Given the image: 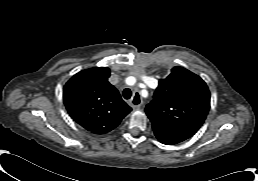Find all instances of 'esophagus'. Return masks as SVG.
<instances>
[{
    "label": "esophagus",
    "mask_w": 258,
    "mask_h": 181,
    "mask_svg": "<svg viewBox=\"0 0 258 181\" xmlns=\"http://www.w3.org/2000/svg\"><path fill=\"white\" fill-rule=\"evenodd\" d=\"M131 106L133 109L138 110L140 109L142 102H141V98L140 95L138 93H135L131 102H130Z\"/></svg>",
    "instance_id": "1"
}]
</instances>
